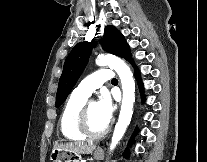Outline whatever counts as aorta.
Returning a JSON list of instances; mask_svg holds the SVG:
<instances>
[{"mask_svg": "<svg viewBox=\"0 0 207 162\" xmlns=\"http://www.w3.org/2000/svg\"><path fill=\"white\" fill-rule=\"evenodd\" d=\"M98 66H109L114 69L120 77L123 99L118 122L115 126L109 150L112 151L122 139L133 114V104L135 101V82L133 74L128 65L114 55H99L96 59Z\"/></svg>", "mask_w": 207, "mask_h": 162, "instance_id": "1", "label": "aorta"}]
</instances>
